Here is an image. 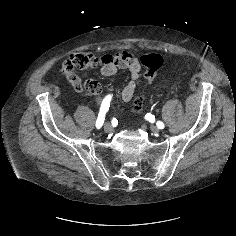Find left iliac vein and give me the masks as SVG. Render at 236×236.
<instances>
[{"instance_id":"obj_1","label":"left iliac vein","mask_w":236,"mask_h":236,"mask_svg":"<svg viewBox=\"0 0 236 236\" xmlns=\"http://www.w3.org/2000/svg\"><path fill=\"white\" fill-rule=\"evenodd\" d=\"M150 130L153 132V133H159V128L157 126H150Z\"/></svg>"}]
</instances>
